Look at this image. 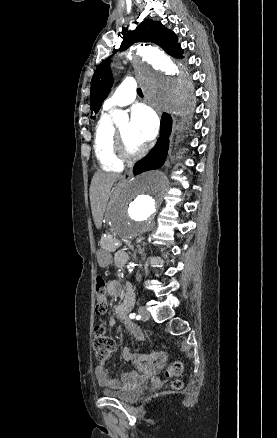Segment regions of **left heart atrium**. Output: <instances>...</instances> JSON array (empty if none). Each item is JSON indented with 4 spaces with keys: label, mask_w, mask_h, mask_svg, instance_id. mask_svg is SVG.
<instances>
[{
    "label": "left heart atrium",
    "mask_w": 277,
    "mask_h": 438,
    "mask_svg": "<svg viewBox=\"0 0 277 438\" xmlns=\"http://www.w3.org/2000/svg\"><path fill=\"white\" fill-rule=\"evenodd\" d=\"M131 128L140 150L144 149L157 130V120L150 107L137 105L132 109Z\"/></svg>",
    "instance_id": "1"
}]
</instances>
